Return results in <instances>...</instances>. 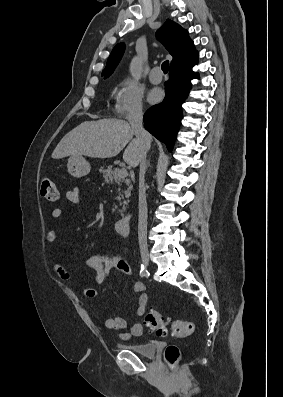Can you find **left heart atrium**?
<instances>
[{
	"label": "left heart atrium",
	"mask_w": 283,
	"mask_h": 397,
	"mask_svg": "<svg viewBox=\"0 0 283 397\" xmlns=\"http://www.w3.org/2000/svg\"><path fill=\"white\" fill-rule=\"evenodd\" d=\"M164 93L160 88H153L148 93V101L151 104L159 103L163 99Z\"/></svg>",
	"instance_id": "left-heart-atrium-1"
}]
</instances>
